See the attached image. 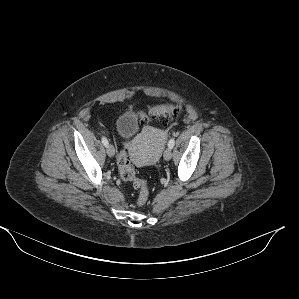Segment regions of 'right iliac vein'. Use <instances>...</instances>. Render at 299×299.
<instances>
[{
    "label": "right iliac vein",
    "instance_id": "63e3f726",
    "mask_svg": "<svg viewBox=\"0 0 299 299\" xmlns=\"http://www.w3.org/2000/svg\"><path fill=\"white\" fill-rule=\"evenodd\" d=\"M106 152H107L108 156L113 157L115 155V149H114L113 145L108 144L106 146Z\"/></svg>",
    "mask_w": 299,
    "mask_h": 299
}]
</instances>
